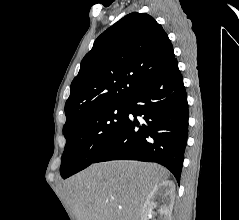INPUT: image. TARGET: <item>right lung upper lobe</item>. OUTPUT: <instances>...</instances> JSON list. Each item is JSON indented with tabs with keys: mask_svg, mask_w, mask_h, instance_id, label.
I'll use <instances>...</instances> for the list:
<instances>
[{
	"mask_svg": "<svg viewBox=\"0 0 239 220\" xmlns=\"http://www.w3.org/2000/svg\"><path fill=\"white\" fill-rule=\"evenodd\" d=\"M168 35L145 13H131L104 31L83 58L65 104L69 127L80 117L125 103L175 61Z\"/></svg>",
	"mask_w": 239,
	"mask_h": 220,
	"instance_id": "obj_1",
	"label": "right lung upper lobe"
}]
</instances>
